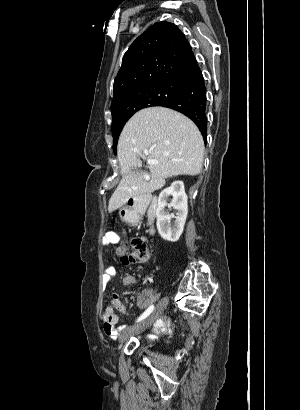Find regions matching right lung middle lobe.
Returning <instances> with one entry per match:
<instances>
[{"label":"right lung middle lobe","mask_w":300,"mask_h":410,"mask_svg":"<svg viewBox=\"0 0 300 410\" xmlns=\"http://www.w3.org/2000/svg\"><path fill=\"white\" fill-rule=\"evenodd\" d=\"M184 83H163L135 89L120 101L118 112L112 115L113 150L128 119L140 109L150 106H161L175 97Z\"/></svg>","instance_id":"right-lung-middle-lobe-1"}]
</instances>
